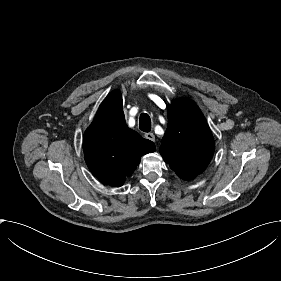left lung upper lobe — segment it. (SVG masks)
Segmentation results:
<instances>
[{"mask_svg":"<svg viewBox=\"0 0 281 281\" xmlns=\"http://www.w3.org/2000/svg\"><path fill=\"white\" fill-rule=\"evenodd\" d=\"M168 126L160 154L176 174L190 180L202 173L214 153V139L207 121L190 99L174 100L167 108Z\"/></svg>","mask_w":281,"mask_h":281,"instance_id":"left-lung-upper-lobe-1","label":"left lung upper lobe"}]
</instances>
